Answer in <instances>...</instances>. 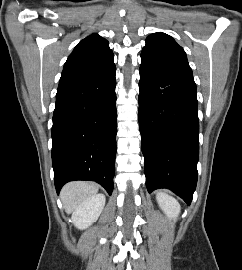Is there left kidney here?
<instances>
[{"label":"left kidney","mask_w":242,"mask_h":270,"mask_svg":"<svg viewBox=\"0 0 242 270\" xmlns=\"http://www.w3.org/2000/svg\"><path fill=\"white\" fill-rule=\"evenodd\" d=\"M160 208L170 218H175L180 213L179 203L171 196L163 192H158L156 195Z\"/></svg>","instance_id":"1"}]
</instances>
